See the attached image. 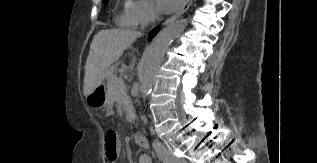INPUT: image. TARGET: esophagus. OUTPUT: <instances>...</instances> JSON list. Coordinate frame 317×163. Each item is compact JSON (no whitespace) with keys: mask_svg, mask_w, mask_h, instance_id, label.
<instances>
[{"mask_svg":"<svg viewBox=\"0 0 317 163\" xmlns=\"http://www.w3.org/2000/svg\"><path fill=\"white\" fill-rule=\"evenodd\" d=\"M192 0H185L183 5L178 9V11L173 14L171 17H169L164 23L163 26H166L170 23H172L173 21H175L177 18H179L181 15H183L187 9L189 8V6L191 5Z\"/></svg>","mask_w":317,"mask_h":163,"instance_id":"34e87169","label":"esophagus"}]
</instances>
